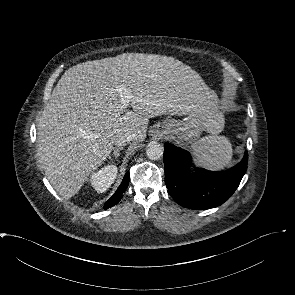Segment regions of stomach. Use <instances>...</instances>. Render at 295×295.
<instances>
[{
  "instance_id": "0dacf381",
  "label": "stomach",
  "mask_w": 295,
  "mask_h": 295,
  "mask_svg": "<svg viewBox=\"0 0 295 295\" xmlns=\"http://www.w3.org/2000/svg\"><path fill=\"white\" fill-rule=\"evenodd\" d=\"M224 126L218 96L208 89L203 100L182 120L167 119L161 124L163 132L183 144L196 141L200 134L213 129L219 133Z\"/></svg>"
}]
</instances>
